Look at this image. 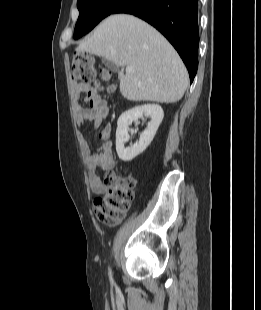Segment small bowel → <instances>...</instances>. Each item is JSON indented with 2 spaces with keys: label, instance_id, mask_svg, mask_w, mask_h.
I'll return each instance as SVG.
<instances>
[{
  "label": "small bowel",
  "instance_id": "small-bowel-1",
  "mask_svg": "<svg viewBox=\"0 0 261 310\" xmlns=\"http://www.w3.org/2000/svg\"><path fill=\"white\" fill-rule=\"evenodd\" d=\"M76 97L84 96L88 107L77 106L75 114L78 124L86 122L91 123V129L99 128L108 114L107 101L101 96L100 89L91 87L87 84L76 85L73 88ZM112 126L106 125L98 134L102 143L94 152L90 147L83 134L79 135L80 147L86 164L88 179L91 191L95 194H102L105 186L98 175V170L111 171L115 167V161L112 151V141L110 139Z\"/></svg>",
  "mask_w": 261,
  "mask_h": 310
}]
</instances>
